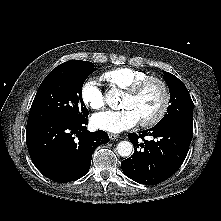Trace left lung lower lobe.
Returning a JSON list of instances; mask_svg holds the SVG:
<instances>
[{
    "label": "left lung lower lobe",
    "mask_w": 221,
    "mask_h": 221,
    "mask_svg": "<svg viewBox=\"0 0 221 221\" xmlns=\"http://www.w3.org/2000/svg\"><path fill=\"white\" fill-rule=\"evenodd\" d=\"M145 136L155 140H145ZM128 137L134 153L122 161L123 172L138 183L156 184L170 177L183 163L193 137V124L169 123L130 133Z\"/></svg>",
    "instance_id": "1"
}]
</instances>
